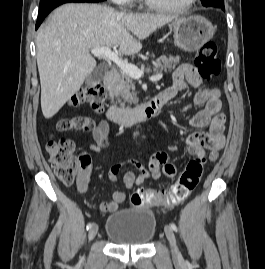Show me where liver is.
<instances>
[{
  "instance_id": "6515ba94",
  "label": "liver",
  "mask_w": 265,
  "mask_h": 269,
  "mask_svg": "<svg viewBox=\"0 0 265 269\" xmlns=\"http://www.w3.org/2000/svg\"><path fill=\"white\" fill-rule=\"evenodd\" d=\"M175 19L171 15L119 13L97 4L69 3L55 9L37 34L41 109L53 117L96 68L95 47L138 53L141 40Z\"/></svg>"
}]
</instances>
